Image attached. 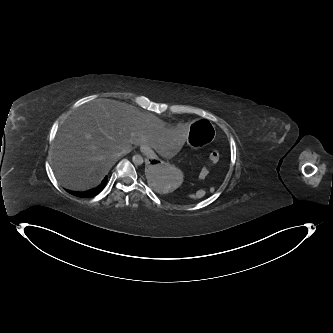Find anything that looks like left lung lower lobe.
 <instances>
[{
    "instance_id": "1",
    "label": "left lung lower lobe",
    "mask_w": 333,
    "mask_h": 333,
    "mask_svg": "<svg viewBox=\"0 0 333 333\" xmlns=\"http://www.w3.org/2000/svg\"><path fill=\"white\" fill-rule=\"evenodd\" d=\"M146 175L150 176V177H154L155 176V169L151 166H148L146 168Z\"/></svg>"
}]
</instances>
